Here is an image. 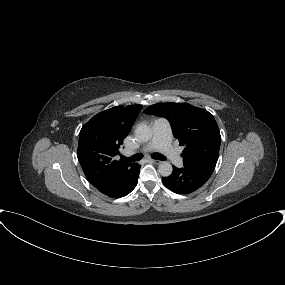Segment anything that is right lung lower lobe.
<instances>
[{"label": "right lung lower lobe", "instance_id": "98d812e1", "mask_svg": "<svg viewBox=\"0 0 285 285\" xmlns=\"http://www.w3.org/2000/svg\"><path fill=\"white\" fill-rule=\"evenodd\" d=\"M140 167V165L135 164L125 175L120 176L113 183L97 189L111 198L128 195L137 185Z\"/></svg>", "mask_w": 285, "mask_h": 285}]
</instances>
